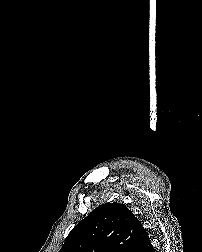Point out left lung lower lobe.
<instances>
[{"mask_svg": "<svg viewBox=\"0 0 202 252\" xmlns=\"http://www.w3.org/2000/svg\"><path fill=\"white\" fill-rule=\"evenodd\" d=\"M133 252H155L154 247L151 244L148 233L143 228L142 224L139 228L137 235V242Z\"/></svg>", "mask_w": 202, "mask_h": 252, "instance_id": "left-lung-lower-lobe-1", "label": "left lung lower lobe"}]
</instances>
